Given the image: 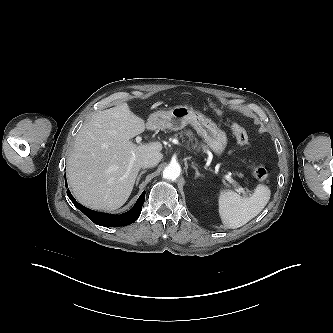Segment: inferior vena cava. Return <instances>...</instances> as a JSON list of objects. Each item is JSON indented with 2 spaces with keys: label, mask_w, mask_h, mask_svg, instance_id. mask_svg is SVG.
<instances>
[{
  "label": "inferior vena cava",
  "mask_w": 333,
  "mask_h": 333,
  "mask_svg": "<svg viewBox=\"0 0 333 333\" xmlns=\"http://www.w3.org/2000/svg\"><path fill=\"white\" fill-rule=\"evenodd\" d=\"M162 157L163 156L161 153H152V154L145 155L142 158L140 165L143 168L154 167L161 161Z\"/></svg>",
  "instance_id": "obj_1"
}]
</instances>
